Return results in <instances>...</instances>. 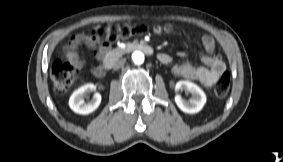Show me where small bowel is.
I'll return each instance as SVG.
<instances>
[{"label": "small bowel", "mask_w": 283, "mask_h": 162, "mask_svg": "<svg viewBox=\"0 0 283 162\" xmlns=\"http://www.w3.org/2000/svg\"><path fill=\"white\" fill-rule=\"evenodd\" d=\"M173 31V26L171 24L158 25L154 27V33L161 35L163 33H171ZM202 44L206 51V54L201 56V61L204 66L196 67L190 63H182L175 65L173 67V72L176 75L187 79H193L199 81L203 85L210 87L214 85L219 78L225 73V64L222 59L214 54L215 51V41L210 35L202 36ZM80 46H85L89 49L97 48L98 61L105 62L110 55V50L107 48L108 45L103 44L99 46V40L96 38L86 35L77 34L73 36L70 42L66 45V59L67 61L75 66L77 69L82 68L83 61L81 60L77 49ZM159 59L164 64H170L172 58L166 53H161ZM109 75V70L104 64H99L92 67V76L97 78L107 77Z\"/></svg>", "instance_id": "small-bowel-1"}]
</instances>
